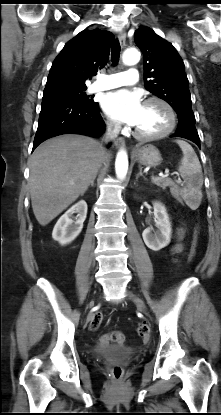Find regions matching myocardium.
Masks as SVG:
<instances>
[{"label": "myocardium", "instance_id": "1", "mask_svg": "<svg viewBox=\"0 0 221 415\" xmlns=\"http://www.w3.org/2000/svg\"><path fill=\"white\" fill-rule=\"evenodd\" d=\"M149 103H159L166 109V111L168 113V116H169L168 126L163 131H161L159 133H155V134H145V133H142V132L138 131L136 128L134 129L133 133L137 138L142 139V140L162 139V138L168 136L169 134H171L174 131V129L176 127V124H177L176 112H175L173 106L163 98L150 97V98L145 100L144 104H149Z\"/></svg>", "mask_w": 221, "mask_h": 415}]
</instances>
